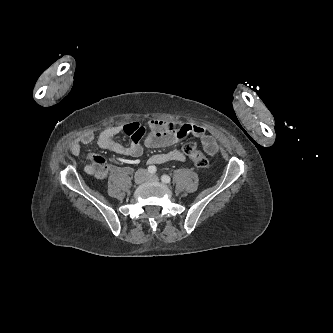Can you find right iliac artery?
<instances>
[{
	"mask_svg": "<svg viewBox=\"0 0 333 333\" xmlns=\"http://www.w3.org/2000/svg\"><path fill=\"white\" fill-rule=\"evenodd\" d=\"M156 171H157V169H156L155 166L151 165V166L148 167V172H149V173L153 174V173H155Z\"/></svg>",
	"mask_w": 333,
	"mask_h": 333,
	"instance_id": "1",
	"label": "right iliac artery"
}]
</instances>
